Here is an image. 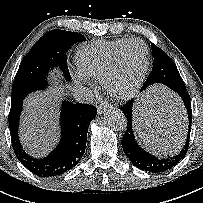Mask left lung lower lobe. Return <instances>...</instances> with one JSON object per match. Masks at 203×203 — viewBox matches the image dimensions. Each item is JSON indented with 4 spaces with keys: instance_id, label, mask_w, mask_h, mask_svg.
Listing matches in <instances>:
<instances>
[{
    "instance_id": "obj_1",
    "label": "left lung lower lobe",
    "mask_w": 203,
    "mask_h": 203,
    "mask_svg": "<svg viewBox=\"0 0 203 203\" xmlns=\"http://www.w3.org/2000/svg\"><path fill=\"white\" fill-rule=\"evenodd\" d=\"M173 77L175 75H172ZM174 81V82H172ZM172 81L170 82L173 85L172 89L173 91L177 92L178 95L181 97L185 110L188 114V135L185 142V145L181 149V151L171 157H156L148 152H146L144 149H142L136 142L132 130V105H133V99L130 100L128 103H126L124 106L121 107V110L125 114L128 124H127V130L122 138V147L126 154V156L130 159L133 165L138 167L139 169L147 172L152 173H161L164 171L169 170L170 168L174 167L176 164H178L181 159H183L188 151L189 147V136H190V129H191V121H192V110H191V102H190V96L184 90V87H180L179 85L182 84V82H176L175 79L172 78ZM145 89L144 85L142 87V90Z\"/></svg>"
}]
</instances>
